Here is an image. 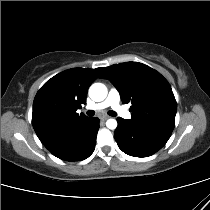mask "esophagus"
Returning a JSON list of instances; mask_svg holds the SVG:
<instances>
[{"mask_svg": "<svg viewBox=\"0 0 210 210\" xmlns=\"http://www.w3.org/2000/svg\"><path fill=\"white\" fill-rule=\"evenodd\" d=\"M108 118H109V116H107V115H103V116H101V118H100V119H101L102 121H105V120H107Z\"/></svg>", "mask_w": 210, "mask_h": 210, "instance_id": "1", "label": "esophagus"}]
</instances>
